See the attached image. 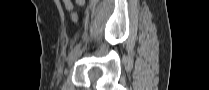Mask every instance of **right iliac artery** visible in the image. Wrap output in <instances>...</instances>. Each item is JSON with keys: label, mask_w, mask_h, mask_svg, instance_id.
Here are the masks:
<instances>
[{"label": "right iliac artery", "mask_w": 209, "mask_h": 90, "mask_svg": "<svg viewBox=\"0 0 209 90\" xmlns=\"http://www.w3.org/2000/svg\"><path fill=\"white\" fill-rule=\"evenodd\" d=\"M80 48V44L76 45L72 50L71 52L69 53V58L73 57L74 55H76V53L78 52Z\"/></svg>", "instance_id": "1"}]
</instances>
